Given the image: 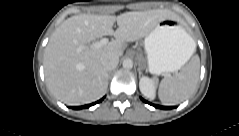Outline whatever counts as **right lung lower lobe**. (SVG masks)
<instances>
[{"mask_svg": "<svg viewBox=\"0 0 239 136\" xmlns=\"http://www.w3.org/2000/svg\"><path fill=\"white\" fill-rule=\"evenodd\" d=\"M103 100V98L95 103H92V104H88V105H84V106H79V107H72L74 109H84V108H89L90 106H93L94 104H97L99 102H101Z\"/></svg>", "mask_w": 239, "mask_h": 136, "instance_id": "right-lung-lower-lobe-1", "label": "right lung lower lobe"}]
</instances>
